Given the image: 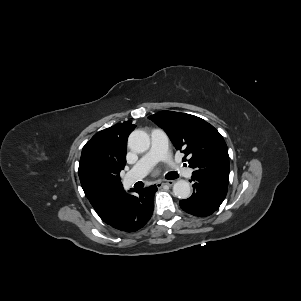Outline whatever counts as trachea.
<instances>
[{"label":"trachea","instance_id":"trachea-1","mask_svg":"<svg viewBox=\"0 0 301 301\" xmlns=\"http://www.w3.org/2000/svg\"><path fill=\"white\" fill-rule=\"evenodd\" d=\"M167 177H168V179H175L178 177V174L176 172H170L167 174Z\"/></svg>","mask_w":301,"mask_h":301}]
</instances>
